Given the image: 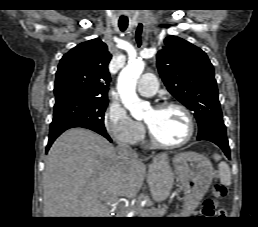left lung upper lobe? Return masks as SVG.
Listing matches in <instances>:
<instances>
[{
	"instance_id": "5c2ea615",
	"label": "left lung upper lobe",
	"mask_w": 258,
	"mask_h": 227,
	"mask_svg": "<svg viewBox=\"0 0 258 227\" xmlns=\"http://www.w3.org/2000/svg\"><path fill=\"white\" fill-rule=\"evenodd\" d=\"M157 54V67L168 91L194 112L198 139L210 134L226 135L214 69L206 53L176 36L165 39Z\"/></svg>"
}]
</instances>
